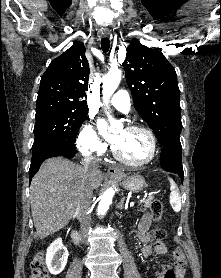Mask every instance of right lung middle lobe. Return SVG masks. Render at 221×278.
Returning a JSON list of instances; mask_svg holds the SVG:
<instances>
[{
    "label": "right lung middle lobe",
    "mask_w": 221,
    "mask_h": 278,
    "mask_svg": "<svg viewBox=\"0 0 221 278\" xmlns=\"http://www.w3.org/2000/svg\"><path fill=\"white\" fill-rule=\"evenodd\" d=\"M88 111L71 108H36L34 143L32 148L53 139L76 141V135L86 119Z\"/></svg>",
    "instance_id": "dd1d6c3e"
}]
</instances>
